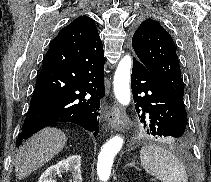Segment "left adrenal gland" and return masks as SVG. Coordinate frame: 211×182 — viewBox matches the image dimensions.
Segmentation results:
<instances>
[{"label": "left adrenal gland", "instance_id": "1", "mask_svg": "<svg viewBox=\"0 0 211 182\" xmlns=\"http://www.w3.org/2000/svg\"><path fill=\"white\" fill-rule=\"evenodd\" d=\"M129 166L137 168L135 165V162L128 163L125 167H129Z\"/></svg>", "mask_w": 211, "mask_h": 182}]
</instances>
